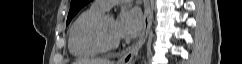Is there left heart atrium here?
<instances>
[{
    "label": "left heart atrium",
    "instance_id": "39dd6f15",
    "mask_svg": "<svg viewBox=\"0 0 242 64\" xmlns=\"http://www.w3.org/2000/svg\"><path fill=\"white\" fill-rule=\"evenodd\" d=\"M143 28V17L138 9H124L115 24L117 38H134Z\"/></svg>",
    "mask_w": 242,
    "mask_h": 64
}]
</instances>
